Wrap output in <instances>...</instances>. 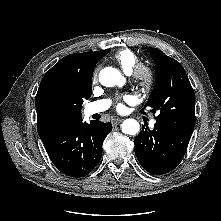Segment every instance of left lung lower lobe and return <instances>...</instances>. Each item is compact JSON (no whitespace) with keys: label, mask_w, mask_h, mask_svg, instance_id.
<instances>
[{"label":"left lung lower lobe","mask_w":221,"mask_h":221,"mask_svg":"<svg viewBox=\"0 0 221 221\" xmlns=\"http://www.w3.org/2000/svg\"><path fill=\"white\" fill-rule=\"evenodd\" d=\"M191 134L172 131L155 124L143 127L134 140L135 154L141 166L151 174L161 175L175 169L181 162Z\"/></svg>","instance_id":"obj_1"}]
</instances>
